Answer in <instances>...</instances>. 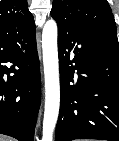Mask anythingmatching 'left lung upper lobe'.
<instances>
[{"label": "left lung upper lobe", "mask_w": 119, "mask_h": 141, "mask_svg": "<svg viewBox=\"0 0 119 141\" xmlns=\"http://www.w3.org/2000/svg\"><path fill=\"white\" fill-rule=\"evenodd\" d=\"M51 16L57 22L118 42L116 23L107 0H54Z\"/></svg>", "instance_id": "left-lung-upper-lobe-1"}]
</instances>
